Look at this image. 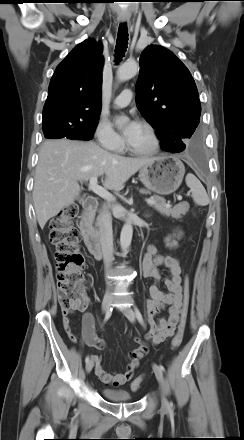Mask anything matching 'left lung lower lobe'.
I'll return each instance as SVG.
<instances>
[{
  "label": "left lung lower lobe",
  "mask_w": 244,
  "mask_h": 440,
  "mask_svg": "<svg viewBox=\"0 0 244 440\" xmlns=\"http://www.w3.org/2000/svg\"><path fill=\"white\" fill-rule=\"evenodd\" d=\"M182 151H183V150H182ZM182 151H181V152H182ZM172 153H178V152H172Z\"/></svg>",
  "instance_id": "1"
}]
</instances>
